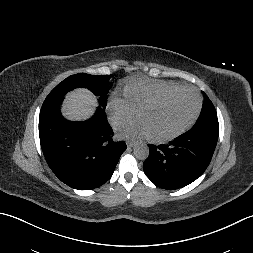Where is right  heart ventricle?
<instances>
[{"instance_id": "obj_1", "label": "right heart ventricle", "mask_w": 253, "mask_h": 253, "mask_svg": "<svg viewBox=\"0 0 253 253\" xmlns=\"http://www.w3.org/2000/svg\"><path fill=\"white\" fill-rule=\"evenodd\" d=\"M178 86L177 83L173 82L137 80L127 84L123 93L130 106L134 110H138L145 103Z\"/></svg>"}]
</instances>
